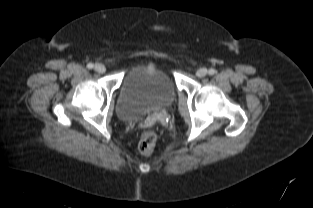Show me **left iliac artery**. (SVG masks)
I'll return each mask as SVG.
<instances>
[{
  "mask_svg": "<svg viewBox=\"0 0 313 208\" xmlns=\"http://www.w3.org/2000/svg\"><path fill=\"white\" fill-rule=\"evenodd\" d=\"M216 73L215 69L211 68L209 69V74L210 75H214Z\"/></svg>",
  "mask_w": 313,
  "mask_h": 208,
  "instance_id": "obj_1",
  "label": "left iliac artery"
}]
</instances>
